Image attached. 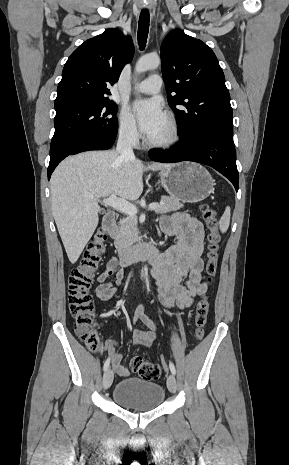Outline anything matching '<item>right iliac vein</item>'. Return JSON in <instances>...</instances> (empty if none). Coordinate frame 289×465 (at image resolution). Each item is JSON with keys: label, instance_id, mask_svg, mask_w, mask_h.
<instances>
[{"label": "right iliac vein", "instance_id": "obj_1", "mask_svg": "<svg viewBox=\"0 0 289 465\" xmlns=\"http://www.w3.org/2000/svg\"><path fill=\"white\" fill-rule=\"evenodd\" d=\"M113 371L111 369H107L103 375V388L108 389L112 382H113Z\"/></svg>", "mask_w": 289, "mask_h": 465}]
</instances>
